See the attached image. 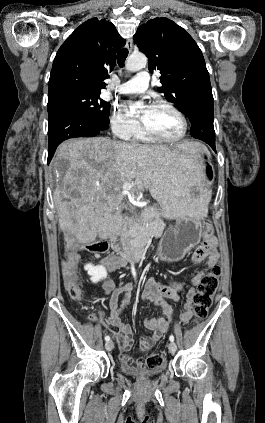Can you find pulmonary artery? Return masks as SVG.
<instances>
[{
	"label": "pulmonary artery",
	"instance_id": "obj_1",
	"mask_svg": "<svg viewBox=\"0 0 265 423\" xmlns=\"http://www.w3.org/2000/svg\"><path fill=\"white\" fill-rule=\"evenodd\" d=\"M149 79L147 71H140L134 78L120 84L116 91L121 94L143 93L149 86Z\"/></svg>",
	"mask_w": 265,
	"mask_h": 423
}]
</instances>
